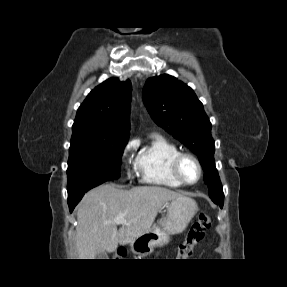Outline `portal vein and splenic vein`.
<instances>
[{"label":"portal vein and splenic vein","instance_id":"obj_1","mask_svg":"<svg viewBox=\"0 0 287 287\" xmlns=\"http://www.w3.org/2000/svg\"><path fill=\"white\" fill-rule=\"evenodd\" d=\"M116 223H124L125 219H124V215L120 214L119 216H117L114 220Z\"/></svg>","mask_w":287,"mask_h":287}]
</instances>
